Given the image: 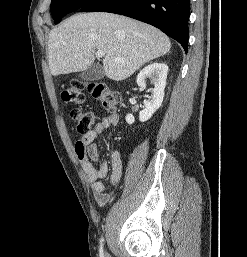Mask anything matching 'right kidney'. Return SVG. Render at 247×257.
<instances>
[{"label":"right kidney","mask_w":247,"mask_h":257,"mask_svg":"<svg viewBox=\"0 0 247 257\" xmlns=\"http://www.w3.org/2000/svg\"><path fill=\"white\" fill-rule=\"evenodd\" d=\"M168 73V66L164 63H152L143 68L137 76V84L142 87L146 83V79L154 77V89L149 100L144 101L145 108L139 113V120L145 122L149 120L152 115L159 109L164 98V89L166 86V78ZM135 119L132 114H127L126 122L128 124L134 123Z\"/></svg>","instance_id":"ca27d5eb"}]
</instances>
